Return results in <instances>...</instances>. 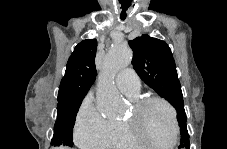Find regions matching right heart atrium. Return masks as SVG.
<instances>
[{"mask_svg":"<svg viewBox=\"0 0 227 149\" xmlns=\"http://www.w3.org/2000/svg\"><path fill=\"white\" fill-rule=\"evenodd\" d=\"M116 122L103 116L93 100H83L74 127L76 143L87 149H103L111 145Z\"/></svg>","mask_w":227,"mask_h":149,"instance_id":"right-heart-atrium-1","label":"right heart atrium"}]
</instances>
